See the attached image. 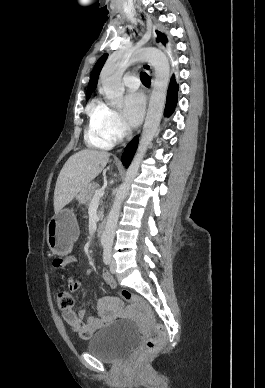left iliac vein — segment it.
<instances>
[{"label":"left iliac vein","instance_id":"obj_1","mask_svg":"<svg viewBox=\"0 0 265 388\" xmlns=\"http://www.w3.org/2000/svg\"><path fill=\"white\" fill-rule=\"evenodd\" d=\"M110 271L113 274H115L116 272V261L114 259L110 261Z\"/></svg>","mask_w":265,"mask_h":388}]
</instances>
